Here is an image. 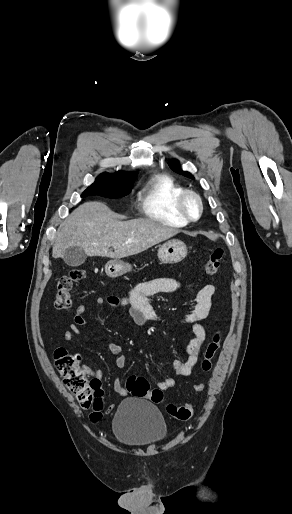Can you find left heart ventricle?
<instances>
[{
	"label": "left heart ventricle",
	"instance_id": "1",
	"mask_svg": "<svg viewBox=\"0 0 292 514\" xmlns=\"http://www.w3.org/2000/svg\"><path fill=\"white\" fill-rule=\"evenodd\" d=\"M185 210L188 214H190L192 217H195L197 215V205L196 202L189 198L185 202Z\"/></svg>",
	"mask_w": 292,
	"mask_h": 514
}]
</instances>
